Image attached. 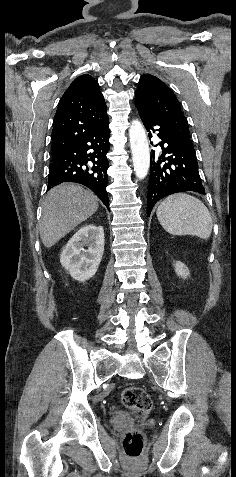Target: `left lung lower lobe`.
<instances>
[{
  "label": "left lung lower lobe",
  "instance_id": "1",
  "mask_svg": "<svg viewBox=\"0 0 236 477\" xmlns=\"http://www.w3.org/2000/svg\"><path fill=\"white\" fill-rule=\"evenodd\" d=\"M135 106L149 132V139L156 133L161 140L158 145L162 149L160 156L155 154V151H152L151 155L147 215L150 216L153 206L165 196L185 191L204 195L194 148L176 139L144 108L136 104Z\"/></svg>",
  "mask_w": 236,
  "mask_h": 477
}]
</instances>
